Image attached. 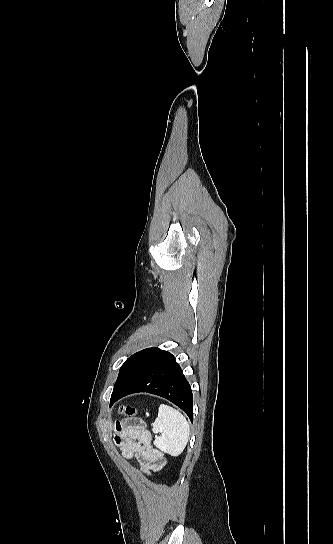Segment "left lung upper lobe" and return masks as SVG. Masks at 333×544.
Wrapping results in <instances>:
<instances>
[{"label": "left lung upper lobe", "instance_id": "5c2ea615", "mask_svg": "<svg viewBox=\"0 0 333 544\" xmlns=\"http://www.w3.org/2000/svg\"><path fill=\"white\" fill-rule=\"evenodd\" d=\"M160 351L157 347L141 350L130 356L120 368L113 392L121 390L139 372V370Z\"/></svg>", "mask_w": 333, "mask_h": 544}]
</instances>
